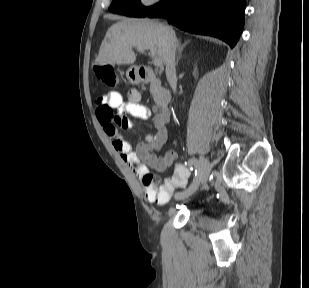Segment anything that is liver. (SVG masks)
I'll list each match as a JSON object with an SVG mask.
<instances>
[{"label": "liver", "mask_w": 309, "mask_h": 288, "mask_svg": "<svg viewBox=\"0 0 309 288\" xmlns=\"http://www.w3.org/2000/svg\"><path fill=\"white\" fill-rule=\"evenodd\" d=\"M166 26L148 19H123L113 24L101 43L96 64H133L136 54L133 48L154 46L165 63L168 50Z\"/></svg>", "instance_id": "liver-1"}]
</instances>
